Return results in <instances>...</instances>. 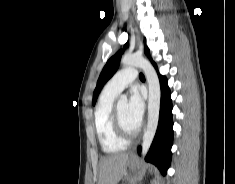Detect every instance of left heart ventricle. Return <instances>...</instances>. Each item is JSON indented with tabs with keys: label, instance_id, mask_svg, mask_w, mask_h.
Returning a JSON list of instances; mask_svg holds the SVG:
<instances>
[{
	"label": "left heart ventricle",
	"instance_id": "1",
	"mask_svg": "<svg viewBox=\"0 0 235 184\" xmlns=\"http://www.w3.org/2000/svg\"><path fill=\"white\" fill-rule=\"evenodd\" d=\"M117 110L119 113V117L121 120V123L125 130L129 133H134L139 127H137L129 118L128 114V104H120L117 106Z\"/></svg>",
	"mask_w": 235,
	"mask_h": 184
}]
</instances>
